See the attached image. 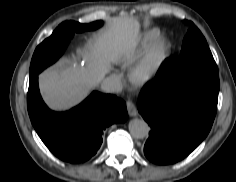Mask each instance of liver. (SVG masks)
Wrapping results in <instances>:
<instances>
[{
	"label": "liver",
	"mask_w": 236,
	"mask_h": 182,
	"mask_svg": "<svg viewBox=\"0 0 236 182\" xmlns=\"http://www.w3.org/2000/svg\"><path fill=\"white\" fill-rule=\"evenodd\" d=\"M138 30L137 20L114 18L108 28L79 51L86 60L85 66L60 65L40 74V90L49 107L64 110L81 102L104 79L111 64L132 51Z\"/></svg>",
	"instance_id": "liver-1"
}]
</instances>
